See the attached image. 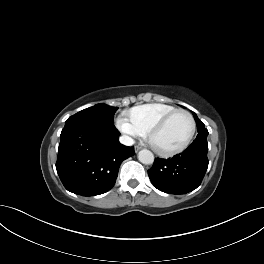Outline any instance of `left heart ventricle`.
Returning a JSON list of instances; mask_svg holds the SVG:
<instances>
[{"label":"left heart ventricle","instance_id":"1","mask_svg":"<svg viewBox=\"0 0 264 264\" xmlns=\"http://www.w3.org/2000/svg\"><path fill=\"white\" fill-rule=\"evenodd\" d=\"M190 132V119L184 114H178L153 137V143L162 150L172 149L182 145L187 140Z\"/></svg>","mask_w":264,"mask_h":264}]
</instances>
